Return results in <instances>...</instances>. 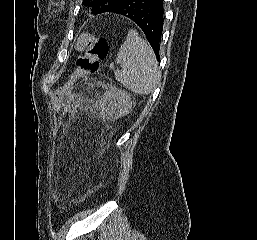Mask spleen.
Returning <instances> with one entry per match:
<instances>
[{"mask_svg": "<svg viewBox=\"0 0 257 240\" xmlns=\"http://www.w3.org/2000/svg\"><path fill=\"white\" fill-rule=\"evenodd\" d=\"M122 70L115 71V79L136 94L155 90L161 75L150 45L134 30H129L116 58Z\"/></svg>", "mask_w": 257, "mask_h": 240, "instance_id": "1", "label": "spleen"}]
</instances>
